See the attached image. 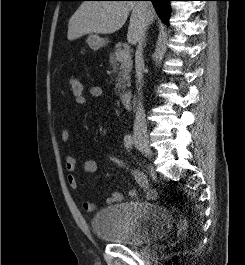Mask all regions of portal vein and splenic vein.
<instances>
[{"instance_id": "1", "label": "portal vein and splenic vein", "mask_w": 245, "mask_h": 265, "mask_svg": "<svg viewBox=\"0 0 245 265\" xmlns=\"http://www.w3.org/2000/svg\"><path fill=\"white\" fill-rule=\"evenodd\" d=\"M130 55V49L129 47H125L121 52H120V57L126 58Z\"/></svg>"}]
</instances>
